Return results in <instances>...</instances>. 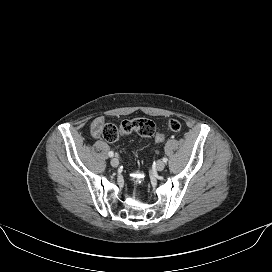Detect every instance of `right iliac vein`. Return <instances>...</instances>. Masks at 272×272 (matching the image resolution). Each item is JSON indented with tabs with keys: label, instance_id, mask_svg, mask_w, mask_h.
I'll return each instance as SVG.
<instances>
[{
	"label": "right iliac vein",
	"instance_id": "1",
	"mask_svg": "<svg viewBox=\"0 0 272 272\" xmlns=\"http://www.w3.org/2000/svg\"><path fill=\"white\" fill-rule=\"evenodd\" d=\"M111 165L113 167H118L119 165V160L117 158H112L111 161H110Z\"/></svg>",
	"mask_w": 272,
	"mask_h": 272
}]
</instances>
